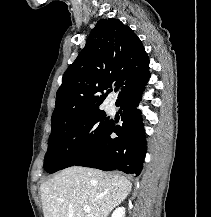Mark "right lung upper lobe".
<instances>
[{
  "mask_svg": "<svg viewBox=\"0 0 211 217\" xmlns=\"http://www.w3.org/2000/svg\"><path fill=\"white\" fill-rule=\"evenodd\" d=\"M148 68L147 53L128 26L114 18L99 20L86 46L63 75L56 93L52 128L100 110L113 86L119 99Z\"/></svg>",
  "mask_w": 211,
  "mask_h": 217,
  "instance_id": "1",
  "label": "right lung upper lobe"
}]
</instances>
